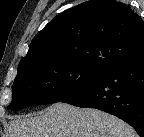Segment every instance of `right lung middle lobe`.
Masks as SVG:
<instances>
[{
    "label": "right lung middle lobe",
    "instance_id": "1",
    "mask_svg": "<svg viewBox=\"0 0 144 137\" xmlns=\"http://www.w3.org/2000/svg\"><path fill=\"white\" fill-rule=\"evenodd\" d=\"M107 71L75 61H57L18 67L10 110L62 101Z\"/></svg>",
    "mask_w": 144,
    "mask_h": 137
}]
</instances>
